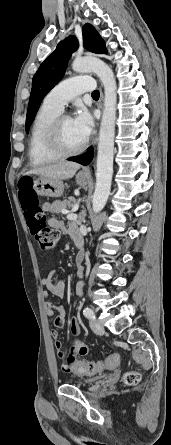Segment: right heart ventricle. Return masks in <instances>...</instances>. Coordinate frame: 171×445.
<instances>
[{"instance_id": "obj_1", "label": "right heart ventricle", "mask_w": 171, "mask_h": 445, "mask_svg": "<svg viewBox=\"0 0 171 445\" xmlns=\"http://www.w3.org/2000/svg\"><path fill=\"white\" fill-rule=\"evenodd\" d=\"M60 113L61 111L44 103L39 109L33 122L28 151L33 165L41 166L59 159V156L51 153L46 147V132L52 120Z\"/></svg>"}]
</instances>
